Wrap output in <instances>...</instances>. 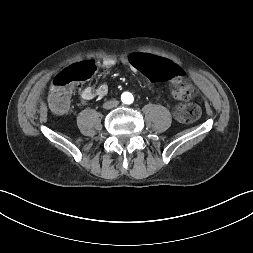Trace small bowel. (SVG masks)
Wrapping results in <instances>:
<instances>
[{
  "label": "small bowel",
  "instance_id": "c3829d8e",
  "mask_svg": "<svg viewBox=\"0 0 253 253\" xmlns=\"http://www.w3.org/2000/svg\"><path fill=\"white\" fill-rule=\"evenodd\" d=\"M131 54L122 57L121 62L129 66L133 71H138L132 65L129 60ZM117 60L112 55H106L102 58L101 63L106 68H111L116 64ZM177 83V82H176ZM174 83V84H176ZM108 93V86L106 84H101L98 87L85 86L80 91V96L84 101L91 100L95 97H103Z\"/></svg>",
  "mask_w": 253,
  "mask_h": 253
}]
</instances>
